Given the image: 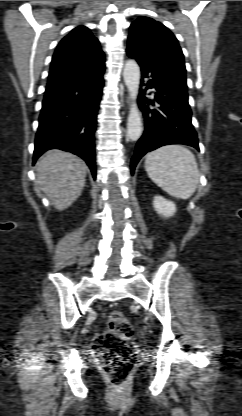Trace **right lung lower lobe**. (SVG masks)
Returning <instances> with one entry per match:
<instances>
[{
    "label": "right lung lower lobe",
    "instance_id": "98d812e1",
    "mask_svg": "<svg viewBox=\"0 0 242 416\" xmlns=\"http://www.w3.org/2000/svg\"><path fill=\"white\" fill-rule=\"evenodd\" d=\"M104 71L47 87L36 134L34 163L45 151L61 149L84 159L96 178L94 132Z\"/></svg>",
    "mask_w": 242,
    "mask_h": 416
}]
</instances>
